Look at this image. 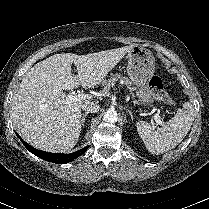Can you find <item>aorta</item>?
I'll use <instances>...</instances> for the list:
<instances>
[{
    "label": "aorta",
    "mask_w": 209,
    "mask_h": 209,
    "mask_svg": "<svg viewBox=\"0 0 209 209\" xmlns=\"http://www.w3.org/2000/svg\"><path fill=\"white\" fill-rule=\"evenodd\" d=\"M117 119H118V114L114 110H107V112H105L103 117V120L107 123H115L117 122Z\"/></svg>",
    "instance_id": "aorta-1"
}]
</instances>
